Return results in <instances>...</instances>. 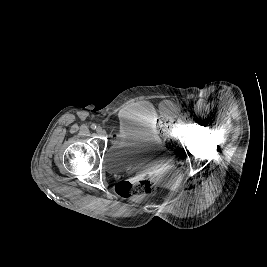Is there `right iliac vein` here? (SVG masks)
I'll list each match as a JSON object with an SVG mask.
<instances>
[{
  "label": "right iliac vein",
  "instance_id": "63e3f726",
  "mask_svg": "<svg viewBox=\"0 0 267 267\" xmlns=\"http://www.w3.org/2000/svg\"><path fill=\"white\" fill-rule=\"evenodd\" d=\"M96 132H97V134H99V135H101L102 134V128L101 127H98L97 129H96Z\"/></svg>",
  "mask_w": 267,
  "mask_h": 267
}]
</instances>
